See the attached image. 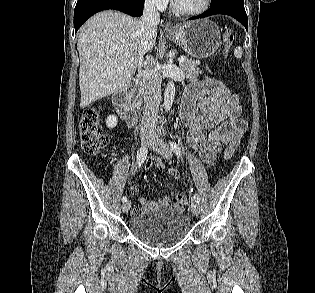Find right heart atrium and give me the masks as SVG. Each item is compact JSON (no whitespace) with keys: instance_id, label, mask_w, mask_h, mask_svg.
<instances>
[{"instance_id":"obj_1","label":"right heart atrium","mask_w":315,"mask_h":293,"mask_svg":"<svg viewBox=\"0 0 315 293\" xmlns=\"http://www.w3.org/2000/svg\"><path fill=\"white\" fill-rule=\"evenodd\" d=\"M147 1L159 10H164L169 3V0H147Z\"/></svg>"}]
</instances>
